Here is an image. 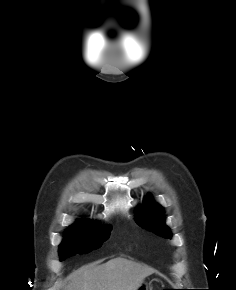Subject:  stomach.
Listing matches in <instances>:
<instances>
[{"instance_id": "1", "label": "stomach", "mask_w": 236, "mask_h": 290, "mask_svg": "<svg viewBox=\"0 0 236 290\" xmlns=\"http://www.w3.org/2000/svg\"><path fill=\"white\" fill-rule=\"evenodd\" d=\"M137 290H148V284L143 282Z\"/></svg>"}]
</instances>
